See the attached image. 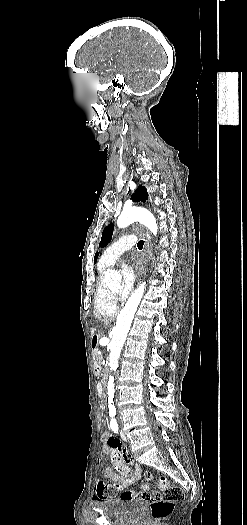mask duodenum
<instances>
[{
	"mask_svg": "<svg viewBox=\"0 0 247 525\" xmlns=\"http://www.w3.org/2000/svg\"><path fill=\"white\" fill-rule=\"evenodd\" d=\"M93 369H94L95 374H97V375L100 374V372H101V365H100V363L98 361L94 362ZM97 393H98L100 398H104L103 387L100 384L97 386Z\"/></svg>",
	"mask_w": 247,
	"mask_h": 525,
	"instance_id": "1",
	"label": "duodenum"
}]
</instances>
